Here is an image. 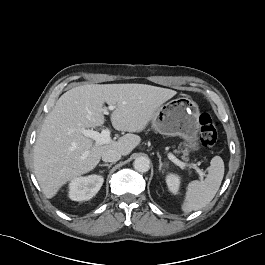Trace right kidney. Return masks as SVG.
Masks as SVG:
<instances>
[{
	"label": "right kidney",
	"instance_id": "right-kidney-1",
	"mask_svg": "<svg viewBox=\"0 0 265 265\" xmlns=\"http://www.w3.org/2000/svg\"><path fill=\"white\" fill-rule=\"evenodd\" d=\"M104 178L100 175L77 177L69 183V198L73 201L90 200L100 190Z\"/></svg>",
	"mask_w": 265,
	"mask_h": 265
}]
</instances>
